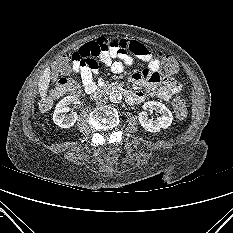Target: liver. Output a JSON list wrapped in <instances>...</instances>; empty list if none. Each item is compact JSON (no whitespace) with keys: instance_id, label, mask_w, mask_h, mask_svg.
Here are the masks:
<instances>
[{"instance_id":"1","label":"liver","mask_w":233,"mask_h":233,"mask_svg":"<svg viewBox=\"0 0 233 233\" xmlns=\"http://www.w3.org/2000/svg\"><path fill=\"white\" fill-rule=\"evenodd\" d=\"M50 68H46L41 75L39 82H38V87H39V94L44 101L46 99V93L49 88V83H50Z\"/></svg>"}]
</instances>
